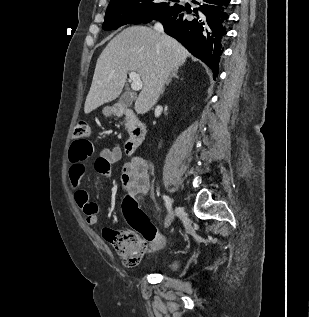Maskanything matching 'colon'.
<instances>
[{
  "label": "colon",
  "mask_w": 309,
  "mask_h": 317,
  "mask_svg": "<svg viewBox=\"0 0 309 317\" xmlns=\"http://www.w3.org/2000/svg\"><path fill=\"white\" fill-rule=\"evenodd\" d=\"M89 135L90 127L86 122H78L75 125L74 142L70 149L71 158L79 156L75 153L79 146L86 145L88 153L92 152V144L87 140ZM123 212L132 230L107 229L105 237L126 266H135L141 261L148 245L161 246L165 239L132 196L124 199Z\"/></svg>",
  "instance_id": "obj_1"
}]
</instances>
